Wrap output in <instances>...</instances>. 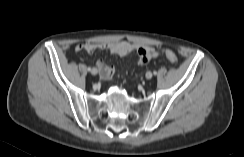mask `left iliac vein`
I'll use <instances>...</instances> for the list:
<instances>
[{
  "label": "left iliac vein",
  "mask_w": 244,
  "mask_h": 157,
  "mask_svg": "<svg viewBox=\"0 0 244 157\" xmlns=\"http://www.w3.org/2000/svg\"><path fill=\"white\" fill-rule=\"evenodd\" d=\"M146 78L151 79L152 78V73L149 71L146 73Z\"/></svg>",
  "instance_id": "left-iliac-vein-1"
}]
</instances>
